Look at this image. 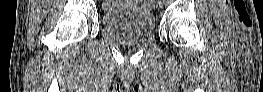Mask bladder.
Here are the masks:
<instances>
[{"mask_svg":"<svg viewBox=\"0 0 263 92\" xmlns=\"http://www.w3.org/2000/svg\"><path fill=\"white\" fill-rule=\"evenodd\" d=\"M121 7H111L102 15L104 29L109 36L126 46L140 44L154 31L155 18L146 7L137 6L138 1H122Z\"/></svg>","mask_w":263,"mask_h":92,"instance_id":"31cf9c89","label":"bladder"}]
</instances>
